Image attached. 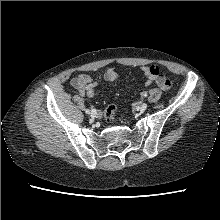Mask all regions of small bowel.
<instances>
[{"mask_svg":"<svg viewBox=\"0 0 220 220\" xmlns=\"http://www.w3.org/2000/svg\"><path fill=\"white\" fill-rule=\"evenodd\" d=\"M153 66H143L141 71L144 75V83L150 85L156 82V76L152 71ZM103 78L106 81H114L117 78V72L113 68L107 69L102 75H98L96 79H93L87 74H80L71 79V85L81 95H86L92 98L96 94V86L98 81Z\"/></svg>","mask_w":220,"mask_h":220,"instance_id":"1","label":"small bowel"}]
</instances>
